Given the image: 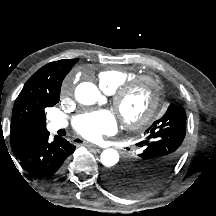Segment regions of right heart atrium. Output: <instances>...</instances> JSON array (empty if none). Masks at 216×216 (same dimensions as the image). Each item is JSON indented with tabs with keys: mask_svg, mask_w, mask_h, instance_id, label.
I'll use <instances>...</instances> for the list:
<instances>
[{
	"mask_svg": "<svg viewBox=\"0 0 216 216\" xmlns=\"http://www.w3.org/2000/svg\"><path fill=\"white\" fill-rule=\"evenodd\" d=\"M72 88V79L68 78L63 85V90L66 92H70Z\"/></svg>",
	"mask_w": 216,
	"mask_h": 216,
	"instance_id": "obj_1",
	"label": "right heart atrium"
}]
</instances>
